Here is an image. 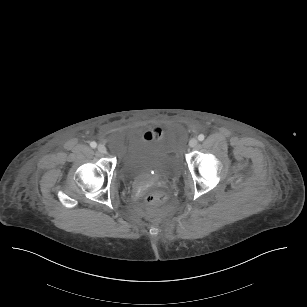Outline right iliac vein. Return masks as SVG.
<instances>
[{"label": "right iliac vein", "mask_w": 307, "mask_h": 307, "mask_svg": "<svg viewBox=\"0 0 307 307\" xmlns=\"http://www.w3.org/2000/svg\"><path fill=\"white\" fill-rule=\"evenodd\" d=\"M97 150H98V152H100L102 154L106 153V151H107L106 147L102 144L98 145Z\"/></svg>", "instance_id": "obj_1"}]
</instances>
